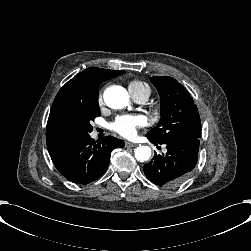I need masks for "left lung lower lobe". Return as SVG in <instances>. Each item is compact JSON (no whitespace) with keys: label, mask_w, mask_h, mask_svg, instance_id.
<instances>
[{"label":"left lung lower lobe","mask_w":251,"mask_h":251,"mask_svg":"<svg viewBox=\"0 0 251 251\" xmlns=\"http://www.w3.org/2000/svg\"><path fill=\"white\" fill-rule=\"evenodd\" d=\"M147 138L154 143L166 144L167 153L157 155L144 165L146 177L158 186L172 187L183 182L194 169L198 159L199 138H184L169 142H156L149 136Z\"/></svg>","instance_id":"left-lung-lower-lobe-1"}]
</instances>
